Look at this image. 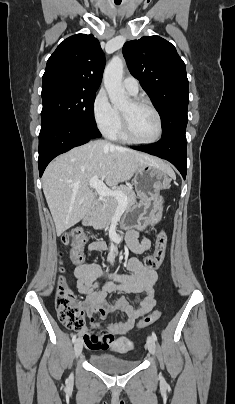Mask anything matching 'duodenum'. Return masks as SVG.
<instances>
[{
	"label": "duodenum",
	"mask_w": 235,
	"mask_h": 404,
	"mask_svg": "<svg viewBox=\"0 0 235 404\" xmlns=\"http://www.w3.org/2000/svg\"><path fill=\"white\" fill-rule=\"evenodd\" d=\"M101 204V200H96L95 201V205L96 206H99ZM93 221V215L92 214H89V215H87L86 217H85V219H84V222L86 223V224H89V223H91Z\"/></svg>",
	"instance_id": "duodenum-1"
}]
</instances>
